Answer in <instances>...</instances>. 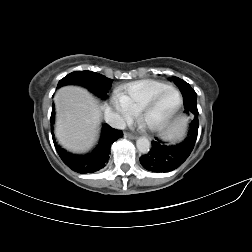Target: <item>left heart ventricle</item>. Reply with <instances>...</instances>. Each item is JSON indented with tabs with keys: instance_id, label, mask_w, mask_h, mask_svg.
<instances>
[{
	"instance_id": "b2bd125f",
	"label": "left heart ventricle",
	"mask_w": 252,
	"mask_h": 252,
	"mask_svg": "<svg viewBox=\"0 0 252 252\" xmlns=\"http://www.w3.org/2000/svg\"><path fill=\"white\" fill-rule=\"evenodd\" d=\"M176 97L169 93L155 107L144 116L145 123H154L164 117L174 106Z\"/></svg>"
}]
</instances>
